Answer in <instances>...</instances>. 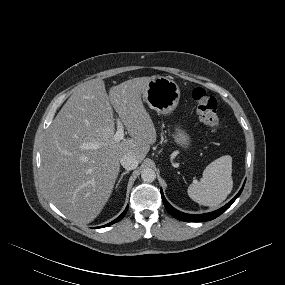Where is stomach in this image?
<instances>
[{
  "mask_svg": "<svg viewBox=\"0 0 285 285\" xmlns=\"http://www.w3.org/2000/svg\"><path fill=\"white\" fill-rule=\"evenodd\" d=\"M142 97L151 109L160 114H170L179 103L180 88L175 81L167 77L153 76ZM173 138L175 143L183 149L191 146L189 134L179 127L176 128Z\"/></svg>",
  "mask_w": 285,
  "mask_h": 285,
  "instance_id": "stomach-1",
  "label": "stomach"
}]
</instances>
